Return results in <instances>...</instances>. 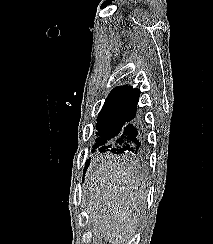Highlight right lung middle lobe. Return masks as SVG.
Here are the masks:
<instances>
[{"mask_svg":"<svg viewBox=\"0 0 213 244\" xmlns=\"http://www.w3.org/2000/svg\"><path fill=\"white\" fill-rule=\"evenodd\" d=\"M138 99L131 97L107 98L98 114L96 129L99 136L93 150L114 140L123 127L131 121L136 114Z\"/></svg>","mask_w":213,"mask_h":244,"instance_id":"obj_1","label":"right lung middle lobe"}]
</instances>
